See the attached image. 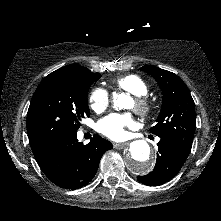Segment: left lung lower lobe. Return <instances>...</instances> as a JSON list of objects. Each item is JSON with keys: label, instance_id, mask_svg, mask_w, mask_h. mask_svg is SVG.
I'll return each mask as SVG.
<instances>
[{"label": "left lung lower lobe", "instance_id": "0a47b994", "mask_svg": "<svg viewBox=\"0 0 221 221\" xmlns=\"http://www.w3.org/2000/svg\"><path fill=\"white\" fill-rule=\"evenodd\" d=\"M187 156L181 153L172 143L160 139L156 165L149 174L137 177L138 181L149 186L163 184L173 178L183 166Z\"/></svg>", "mask_w": 221, "mask_h": 221}]
</instances>
